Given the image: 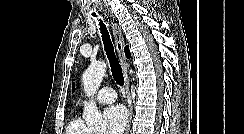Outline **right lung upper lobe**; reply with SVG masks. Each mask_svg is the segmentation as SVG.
Wrapping results in <instances>:
<instances>
[{
    "label": "right lung upper lobe",
    "mask_w": 244,
    "mask_h": 134,
    "mask_svg": "<svg viewBox=\"0 0 244 134\" xmlns=\"http://www.w3.org/2000/svg\"><path fill=\"white\" fill-rule=\"evenodd\" d=\"M125 54H126V57L129 59L131 55H130V51H129L128 46L125 47Z\"/></svg>",
    "instance_id": "1"
}]
</instances>
